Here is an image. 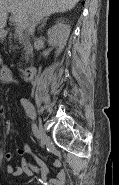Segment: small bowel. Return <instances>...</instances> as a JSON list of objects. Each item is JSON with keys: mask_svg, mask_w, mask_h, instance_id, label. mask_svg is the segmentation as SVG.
Listing matches in <instances>:
<instances>
[{"mask_svg": "<svg viewBox=\"0 0 119 185\" xmlns=\"http://www.w3.org/2000/svg\"><path fill=\"white\" fill-rule=\"evenodd\" d=\"M0 81L3 84H9L14 82L13 73L11 69L3 65L0 69ZM12 131V123L9 120L4 121L3 123V133L5 135L10 134ZM17 154L21 156V164L20 166L11 165L12 154L10 152H6L4 154V160L6 162V172L13 176H20L21 174H25L27 177H33L35 175H41L43 181L47 180V175L50 172L49 167L44 163L42 159L34 155L30 149V147L26 144L18 147L16 149ZM28 156H32L36 162V165L30 163L27 159ZM55 168L61 167V161L57 160L54 163ZM66 181V172L64 169H60L53 177L50 178V185H63Z\"/></svg>", "mask_w": 119, "mask_h": 185, "instance_id": "c3829d8e", "label": "small bowel"}]
</instances>
